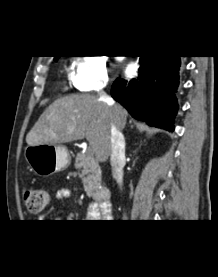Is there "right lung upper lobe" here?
Returning a JSON list of instances; mask_svg holds the SVG:
<instances>
[{"instance_id":"cb5924a9","label":"right lung upper lobe","mask_w":218,"mask_h":277,"mask_svg":"<svg viewBox=\"0 0 218 277\" xmlns=\"http://www.w3.org/2000/svg\"><path fill=\"white\" fill-rule=\"evenodd\" d=\"M54 57H55V59H56V58H59V56H54Z\"/></svg>"}]
</instances>
